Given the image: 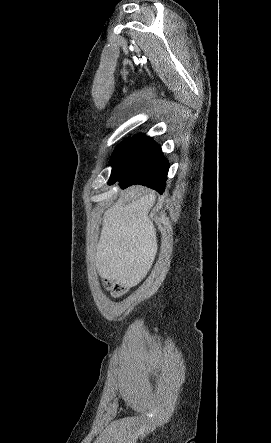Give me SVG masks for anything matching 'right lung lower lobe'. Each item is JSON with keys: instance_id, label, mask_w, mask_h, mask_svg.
Instances as JSON below:
<instances>
[{"instance_id": "obj_1", "label": "right lung lower lobe", "mask_w": 271, "mask_h": 443, "mask_svg": "<svg viewBox=\"0 0 271 443\" xmlns=\"http://www.w3.org/2000/svg\"><path fill=\"white\" fill-rule=\"evenodd\" d=\"M112 165L109 185L119 182L122 188H126L142 184L159 193L164 191L169 164L152 138L138 134L127 140Z\"/></svg>"}]
</instances>
